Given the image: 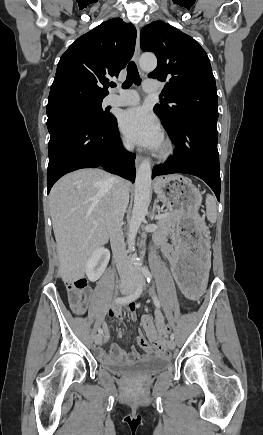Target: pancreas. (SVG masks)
Returning a JSON list of instances; mask_svg holds the SVG:
<instances>
[{"mask_svg":"<svg viewBox=\"0 0 263 435\" xmlns=\"http://www.w3.org/2000/svg\"><path fill=\"white\" fill-rule=\"evenodd\" d=\"M177 220V212L171 210L170 212L165 213V216L160 218L157 221L158 230L153 235V238L156 241L165 239L166 236L169 235L170 231L174 226V222Z\"/></svg>","mask_w":263,"mask_h":435,"instance_id":"1","label":"pancreas"}]
</instances>
